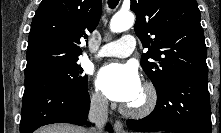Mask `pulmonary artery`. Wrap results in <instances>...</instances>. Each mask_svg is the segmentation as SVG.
<instances>
[{
    "label": "pulmonary artery",
    "mask_w": 221,
    "mask_h": 133,
    "mask_svg": "<svg viewBox=\"0 0 221 133\" xmlns=\"http://www.w3.org/2000/svg\"><path fill=\"white\" fill-rule=\"evenodd\" d=\"M136 41L131 35H124L119 41L105 44L99 50L97 57H128L135 49Z\"/></svg>",
    "instance_id": "obj_1"
}]
</instances>
